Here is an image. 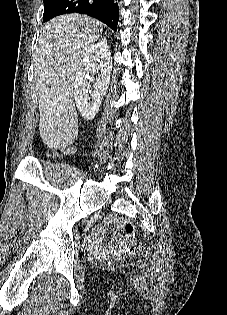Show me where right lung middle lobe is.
Returning a JSON list of instances; mask_svg holds the SVG:
<instances>
[{"label":"right lung middle lobe","instance_id":"right-lung-middle-lobe-1","mask_svg":"<svg viewBox=\"0 0 227 315\" xmlns=\"http://www.w3.org/2000/svg\"><path fill=\"white\" fill-rule=\"evenodd\" d=\"M56 0H43L44 2V10L49 6L51 3L55 2Z\"/></svg>","mask_w":227,"mask_h":315}]
</instances>
